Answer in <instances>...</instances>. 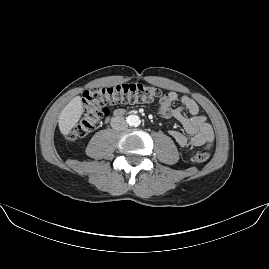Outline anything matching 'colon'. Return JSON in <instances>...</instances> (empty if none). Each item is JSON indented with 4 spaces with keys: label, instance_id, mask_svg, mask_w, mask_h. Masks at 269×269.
Masks as SVG:
<instances>
[{
    "label": "colon",
    "instance_id": "colon-1",
    "mask_svg": "<svg viewBox=\"0 0 269 269\" xmlns=\"http://www.w3.org/2000/svg\"><path fill=\"white\" fill-rule=\"evenodd\" d=\"M161 96L159 88L135 82L121 83L109 87H88L82 94L83 110L81 119L68 135L76 140L91 132L103 119L111 106L119 104L149 103ZM210 150H202L191 157V162L208 160Z\"/></svg>",
    "mask_w": 269,
    "mask_h": 269
}]
</instances>
